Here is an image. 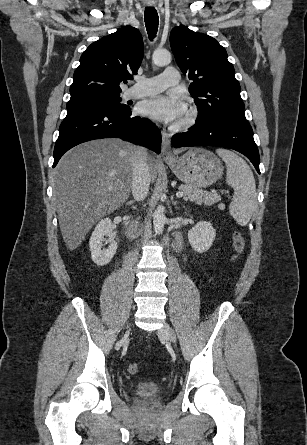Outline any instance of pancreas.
<instances>
[{
    "instance_id": "pancreas-1",
    "label": "pancreas",
    "mask_w": 307,
    "mask_h": 445,
    "mask_svg": "<svg viewBox=\"0 0 307 445\" xmlns=\"http://www.w3.org/2000/svg\"><path fill=\"white\" fill-rule=\"evenodd\" d=\"M179 192L185 194L184 200H192L196 204H206V206H211V204L221 200V196L216 194V192H206V190H201V188H196V186H189V184H181Z\"/></svg>"
}]
</instances>
